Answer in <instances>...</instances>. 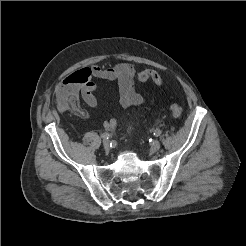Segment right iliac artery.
<instances>
[{
    "label": "right iliac artery",
    "instance_id": "right-iliac-artery-1",
    "mask_svg": "<svg viewBox=\"0 0 246 246\" xmlns=\"http://www.w3.org/2000/svg\"><path fill=\"white\" fill-rule=\"evenodd\" d=\"M102 137L104 139H108L110 137V135H109V133L105 132V133L102 134Z\"/></svg>",
    "mask_w": 246,
    "mask_h": 246
}]
</instances>
